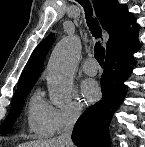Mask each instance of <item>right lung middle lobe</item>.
<instances>
[{"label": "right lung middle lobe", "mask_w": 145, "mask_h": 147, "mask_svg": "<svg viewBox=\"0 0 145 147\" xmlns=\"http://www.w3.org/2000/svg\"><path fill=\"white\" fill-rule=\"evenodd\" d=\"M33 88V86L17 89V91L14 94L11 109L9 111L8 116L6 117L3 125L1 126V134H8L16 121L17 117L20 115L23 105H24V99L30 92V90Z\"/></svg>", "instance_id": "obj_1"}]
</instances>
